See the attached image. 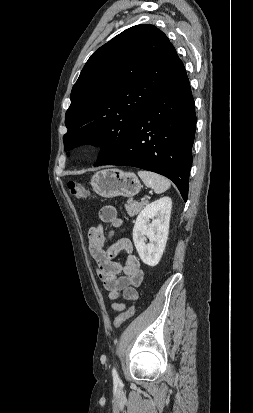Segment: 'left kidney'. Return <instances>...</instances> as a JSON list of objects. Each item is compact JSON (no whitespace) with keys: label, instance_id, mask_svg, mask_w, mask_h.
<instances>
[{"label":"left kidney","instance_id":"obj_1","mask_svg":"<svg viewBox=\"0 0 253 413\" xmlns=\"http://www.w3.org/2000/svg\"><path fill=\"white\" fill-rule=\"evenodd\" d=\"M171 208V198L163 197L146 205L136 219L133 242L141 260L148 266H156L165 250ZM147 238L149 243H146Z\"/></svg>","mask_w":253,"mask_h":413}]
</instances>
